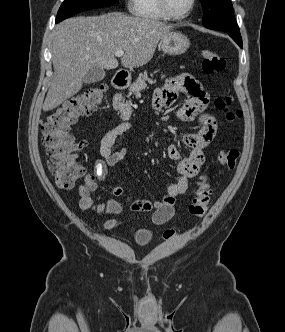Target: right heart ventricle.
<instances>
[{
    "mask_svg": "<svg viewBox=\"0 0 285 332\" xmlns=\"http://www.w3.org/2000/svg\"><path fill=\"white\" fill-rule=\"evenodd\" d=\"M131 12L138 18L165 21L169 18L162 12L158 0H131Z\"/></svg>",
    "mask_w": 285,
    "mask_h": 332,
    "instance_id": "1",
    "label": "right heart ventricle"
}]
</instances>
